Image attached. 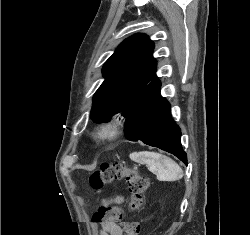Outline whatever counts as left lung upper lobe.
Segmentation results:
<instances>
[{"label": "left lung upper lobe", "instance_id": "5c2ea615", "mask_svg": "<svg viewBox=\"0 0 250 235\" xmlns=\"http://www.w3.org/2000/svg\"><path fill=\"white\" fill-rule=\"evenodd\" d=\"M153 42L144 34L125 39L103 67L104 82L93 97L91 118L109 121L113 114L128 115L139 96L155 77Z\"/></svg>", "mask_w": 250, "mask_h": 235}]
</instances>
